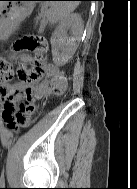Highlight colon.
<instances>
[{"label": "colon", "instance_id": "obj_1", "mask_svg": "<svg viewBox=\"0 0 137 189\" xmlns=\"http://www.w3.org/2000/svg\"><path fill=\"white\" fill-rule=\"evenodd\" d=\"M16 50L37 51L42 49V44L39 38L33 36H26L17 41L14 45ZM10 64L4 59H0V82L5 84L10 77Z\"/></svg>", "mask_w": 137, "mask_h": 189}]
</instances>
